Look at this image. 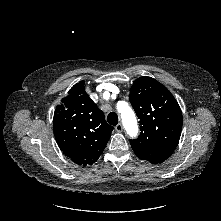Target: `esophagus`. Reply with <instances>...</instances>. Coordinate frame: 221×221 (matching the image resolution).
<instances>
[{"instance_id":"esophagus-1","label":"esophagus","mask_w":221,"mask_h":221,"mask_svg":"<svg viewBox=\"0 0 221 221\" xmlns=\"http://www.w3.org/2000/svg\"><path fill=\"white\" fill-rule=\"evenodd\" d=\"M115 130H116L117 132H122V131H123V125H122L121 123L117 124V125L115 126Z\"/></svg>"}]
</instances>
